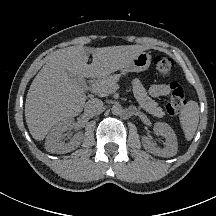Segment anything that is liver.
<instances>
[{
    "instance_id": "6515ba94",
    "label": "liver",
    "mask_w": 216,
    "mask_h": 216,
    "mask_svg": "<svg viewBox=\"0 0 216 216\" xmlns=\"http://www.w3.org/2000/svg\"><path fill=\"white\" fill-rule=\"evenodd\" d=\"M146 49L142 45L71 46L54 52L27 93L25 119L32 137L41 141L56 123L82 112L86 96L81 83L69 78V72L81 80L107 76L121 70ZM90 54L93 61L87 64Z\"/></svg>"
}]
</instances>
